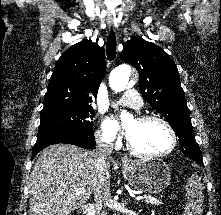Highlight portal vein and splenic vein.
<instances>
[{
	"mask_svg": "<svg viewBox=\"0 0 221 215\" xmlns=\"http://www.w3.org/2000/svg\"><path fill=\"white\" fill-rule=\"evenodd\" d=\"M74 191H75L77 194H83V193L85 192L83 189H77V188H75ZM142 199H144L143 196H137V197H135V200H142Z\"/></svg>",
	"mask_w": 221,
	"mask_h": 215,
	"instance_id": "1",
	"label": "portal vein and splenic vein"
}]
</instances>
